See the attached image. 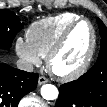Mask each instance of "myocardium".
<instances>
[{
	"label": "myocardium",
	"instance_id": "f54148a6",
	"mask_svg": "<svg viewBox=\"0 0 107 107\" xmlns=\"http://www.w3.org/2000/svg\"><path fill=\"white\" fill-rule=\"evenodd\" d=\"M81 23H86L89 26L90 31H91V43H90L88 52L85 58L83 59V61L81 62V64L77 68H75L74 70L68 73H59L54 69L53 61L60 54V52L64 49L73 30ZM96 40L97 38H96L95 28L88 19L78 18L77 20L73 21L65 28V30L59 37L58 41L51 48L48 55L46 56V66H47L48 71L53 76H55L57 79L61 81H71L80 77L90 65V62L93 58L95 48H96Z\"/></svg>",
	"mask_w": 107,
	"mask_h": 107
}]
</instances>
